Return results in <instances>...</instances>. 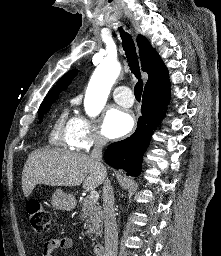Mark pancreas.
Listing matches in <instances>:
<instances>
[{
	"label": "pancreas",
	"mask_w": 221,
	"mask_h": 256,
	"mask_svg": "<svg viewBox=\"0 0 221 256\" xmlns=\"http://www.w3.org/2000/svg\"><path fill=\"white\" fill-rule=\"evenodd\" d=\"M80 218L85 220L86 234L95 240L101 235L103 212L101 206L90 197L80 200Z\"/></svg>",
	"instance_id": "cf45deb5"
}]
</instances>
